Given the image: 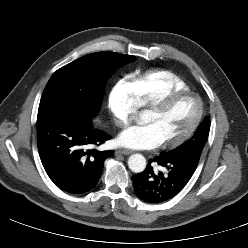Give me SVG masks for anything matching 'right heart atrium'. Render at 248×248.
Returning <instances> with one entry per match:
<instances>
[{
	"mask_svg": "<svg viewBox=\"0 0 248 248\" xmlns=\"http://www.w3.org/2000/svg\"><path fill=\"white\" fill-rule=\"evenodd\" d=\"M107 104L115 124L119 127L131 124L140 108L125 81H120L111 88Z\"/></svg>",
	"mask_w": 248,
	"mask_h": 248,
	"instance_id": "obj_1",
	"label": "right heart atrium"
}]
</instances>
